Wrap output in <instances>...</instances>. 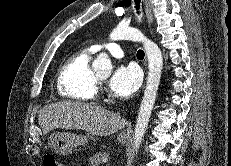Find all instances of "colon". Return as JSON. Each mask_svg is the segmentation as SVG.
Instances as JSON below:
<instances>
[{"label":"colon","mask_w":231,"mask_h":166,"mask_svg":"<svg viewBox=\"0 0 231 166\" xmlns=\"http://www.w3.org/2000/svg\"><path fill=\"white\" fill-rule=\"evenodd\" d=\"M44 166H66L63 162L53 155H46L44 157Z\"/></svg>","instance_id":"5ec220e1"}]
</instances>
